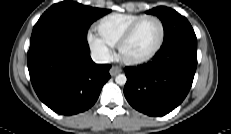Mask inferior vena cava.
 Instances as JSON below:
<instances>
[{"instance_id":"602c4592","label":"inferior vena cava","mask_w":231,"mask_h":134,"mask_svg":"<svg viewBox=\"0 0 231 134\" xmlns=\"http://www.w3.org/2000/svg\"><path fill=\"white\" fill-rule=\"evenodd\" d=\"M91 58L95 63L98 64H104L110 61L109 55L98 51L92 52Z\"/></svg>"}]
</instances>
